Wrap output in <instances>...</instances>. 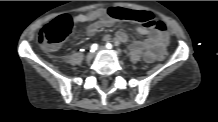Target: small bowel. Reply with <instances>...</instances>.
I'll list each match as a JSON object with an SVG mask.
<instances>
[{
  "mask_svg": "<svg viewBox=\"0 0 218 122\" xmlns=\"http://www.w3.org/2000/svg\"><path fill=\"white\" fill-rule=\"evenodd\" d=\"M113 8L108 9H95L87 13L76 15L73 18L74 23L83 24L89 23L86 29V33L89 36H94L102 27H110L114 23L115 17L110 15L109 11ZM137 33L146 38L135 41L131 48L135 51L143 53L144 60L148 63L156 61V56L163 49H166L169 44V34L163 26L162 28H150L146 26H139L137 28ZM110 35L106 36V39H111ZM114 40L127 43L129 37L126 32L119 30L113 37Z\"/></svg>",
  "mask_w": 218,
  "mask_h": 122,
  "instance_id": "obj_1",
  "label": "small bowel"
}]
</instances>
